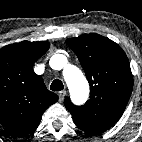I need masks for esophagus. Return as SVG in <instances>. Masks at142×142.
<instances>
[{"instance_id": "obj_1", "label": "esophagus", "mask_w": 142, "mask_h": 142, "mask_svg": "<svg viewBox=\"0 0 142 142\" xmlns=\"http://www.w3.org/2000/svg\"><path fill=\"white\" fill-rule=\"evenodd\" d=\"M65 95H66V91L65 90H62L58 93V96H59V101L62 102L65 98Z\"/></svg>"}]
</instances>
